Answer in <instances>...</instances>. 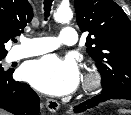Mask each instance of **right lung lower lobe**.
Returning <instances> with one entry per match:
<instances>
[{
    "label": "right lung lower lobe",
    "instance_id": "98d812e1",
    "mask_svg": "<svg viewBox=\"0 0 131 115\" xmlns=\"http://www.w3.org/2000/svg\"><path fill=\"white\" fill-rule=\"evenodd\" d=\"M12 73L0 75V107L15 115H39V96L29 85L16 82Z\"/></svg>",
    "mask_w": 131,
    "mask_h": 115
}]
</instances>
